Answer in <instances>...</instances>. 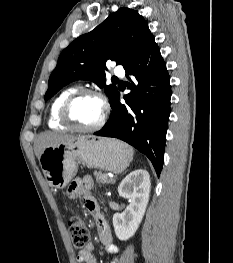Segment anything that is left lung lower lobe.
Returning a JSON list of instances; mask_svg holds the SVG:
<instances>
[{
  "mask_svg": "<svg viewBox=\"0 0 233 263\" xmlns=\"http://www.w3.org/2000/svg\"><path fill=\"white\" fill-rule=\"evenodd\" d=\"M129 78L124 96L127 105L119 102L120 93L111 104L112 114L98 136L121 139L152 162L160 175L164 159L166 132L170 115L171 86L166 64L153 39L141 54L124 68Z\"/></svg>",
  "mask_w": 233,
  "mask_h": 263,
  "instance_id": "obj_1",
  "label": "left lung lower lobe"
}]
</instances>
